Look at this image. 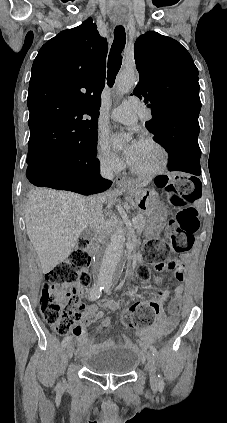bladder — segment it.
<instances>
[{"instance_id":"31cf9c89","label":"bladder","mask_w":227,"mask_h":423,"mask_svg":"<svg viewBox=\"0 0 227 423\" xmlns=\"http://www.w3.org/2000/svg\"><path fill=\"white\" fill-rule=\"evenodd\" d=\"M137 351L127 344L100 347L86 355L82 363L93 374L100 376H127L139 364Z\"/></svg>"}]
</instances>
